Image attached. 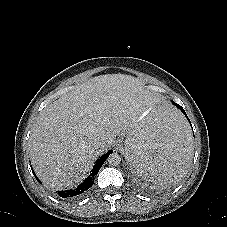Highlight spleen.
Instances as JSON below:
<instances>
[{
  "label": "spleen",
  "instance_id": "1",
  "mask_svg": "<svg viewBox=\"0 0 227 227\" xmlns=\"http://www.w3.org/2000/svg\"><path fill=\"white\" fill-rule=\"evenodd\" d=\"M196 147L183 116L166 100L155 102L151 114L124 138V155L133 173L161 184L185 176Z\"/></svg>",
  "mask_w": 227,
  "mask_h": 227
}]
</instances>
